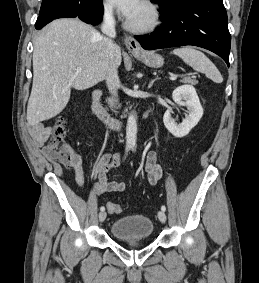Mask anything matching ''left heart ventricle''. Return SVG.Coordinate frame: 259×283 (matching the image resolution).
<instances>
[{"mask_svg":"<svg viewBox=\"0 0 259 283\" xmlns=\"http://www.w3.org/2000/svg\"><path fill=\"white\" fill-rule=\"evenodd\" d=\"M149 19H150L149 10L144 4H141L137 12L129 20L135 25H144L149 21Z\"/></svg>","mask_w":259,"mask_h":283,"instance_id":"obj_1","label":"left heart ventricle"}]
</instances>
